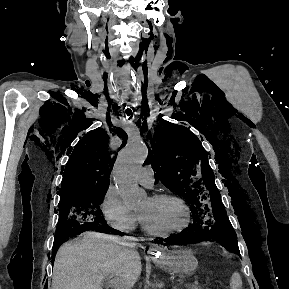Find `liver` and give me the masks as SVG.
Segmentation results:
<instances>
[{
    "label": "liver",
    "mask_w": 289,
    "mask_h": 289,
    "mask_svg": "<svg viewBox=\"0 0 289 289\" xmlns=\"http://www.w3.org/2000/svg\"><path fill=\"white\" fill-rule=\"evenodd\" d=\"M141 259L131 249L118 245L114 238L98 232H86L78 243L63 244L55 258L52 289H102V282L117 276L127 283L139 278Z\"/></svg>",
    "instance_id": "6515ba94"
}]
</instances>
